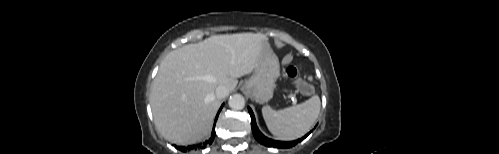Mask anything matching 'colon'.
<instances>
[{
	"mask_svg": "<svg viewBox=\"0 0 499 154\" xmlns=\"http://www.w3.org/2000/svg\"><path fill=\"white\" fill-rule=\"evenodd\" d=\"M286 74L289 78L295 80L298 89L304 95H310L313 92V87L305 80L299 77L298 71L295 67H289L286 70Z\"/></svg>",
	"mask_w": 499,
	"mask_h": 154,
	"instance_id": "colon-1",
	"label": "colon"
}]
</instances>
